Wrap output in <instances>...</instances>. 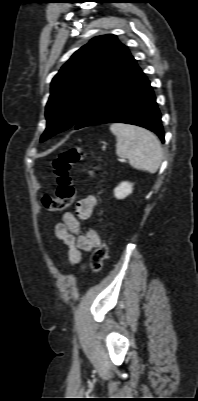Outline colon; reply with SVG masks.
Listing matches in <instances>:
<instances>
[{
    "instance_id": "colon-1",
    "label": "colon",
    "mask_w": 198,
    "mask_h": 401,
    "mask_svg": "<svg viewBox=\"0 0 198 401\" xmlns=\"http://www.w3.org/2000/svg\"><path fill=\"white\" fill-rule=\"evenodd\" d=\"M81 158V148L75 146L64 150L53 159L52 165L57 177V188L54 195H45L42 199V203L48 211L57 212L64 210L73 202L75 187L69 171ZM96 170L97 167L93 166L92 172ZM107 253V244L101 242L91 257V265L95 273L101 271Z\"/></svg>"
}]
</instances>
